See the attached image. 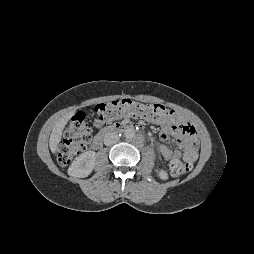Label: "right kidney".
I'll list each match as a JSON object with an SVG mask.
<instances>
[{
    "mask_svg": "<svg viewBox=\"0 0 254 254\" xmlns=\"http://www.w3.org/2000/svg\"><path fill=\"white\" fill-rule=\"evenodd\" d=\"M95 161L96 153L94 151L84 152L74 159L68 168V174L78 178L87 177L94 169Z\"/></svg>",
    "mask_w": 254,
    "mask_h": 254,
    "instance_id": "ca27d5eb",
    "label": "right kidney"
}]
</instances>
